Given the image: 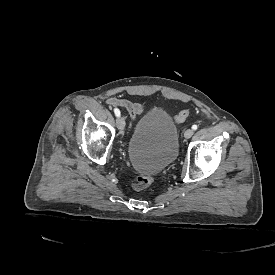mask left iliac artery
I'll list each match as a JSON object with an SVG mask.
<instances>
[{"mask_svg": "<svg viewBox=\"0 0 275 275\" xmlns=\"http://www.w3.org/2000/svg\"><path fill=\"white\" fill-rule=\"evenodd\" d=\"M197 128H198L197 125H193V126H192V129H193V130H196Z\"/></svg>", "mask_w": 275, "mask_h": 275, "instance_id": "obj_1", "label": "left iliac artery"}]
</instances>
